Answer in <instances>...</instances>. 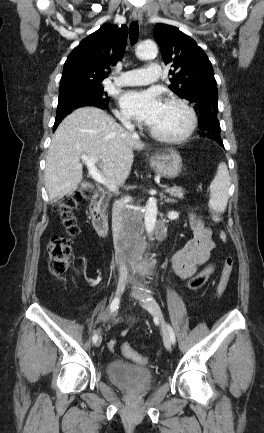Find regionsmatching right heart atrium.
I'll use <instances>...</instances> for the list:
<instances>
[{
    "label": "right heart atrium",
    "instance_id": "obj_1",
    "mask_svg": "<svg viewBox=\"0 0 264 433\" xmlns=\"http://www.w3.org/2000/svg\"><path fill=\"white\" fill-rule=\"evenodd\" d=\"M117 118L124 124H131V119L129 115L125 112H116Z\"/></svg>",
    "mask_w": 264,
    "mask_h": 433
}]
</instances>
